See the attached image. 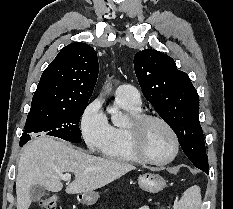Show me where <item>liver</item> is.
Here are the masks:
<instances>
[{
	"label": "liver",
	"mask_w": 233,
	"mask_h": 209,
	"mask_svg": "<svg viewBox=\"0 0 233 209\" xmlns=\"http://www.w3.org/2000/svg\"><path fill=\"white\" fill-rule=\"evenodd\" d=\"M136 167L126 162L89 155L66 142L43 136L32 140L23 150L16 177L17 209L31 205L30 188L40 185L51 192L63 188L61 175L73 173L75 179L65 191L88 193L99 189Z\"/></svg>",
	"instance_id": "6515ba94"
}]
</instances>
